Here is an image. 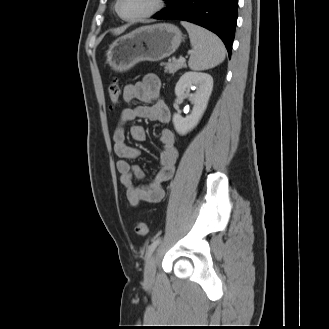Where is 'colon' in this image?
Returning a JSON list of instances; mask_svg holds the SVG:
<instances>
[{
    "label": "colon",
    "mask_w": 329,
    "mask_h": 329,
    "mask_svg": "<svg viewBox=\"0 0 329 329\" xmlns=\"http://www.w3.org/2000/svg\"><path fill=\"white\" fill-rule=\"evenodd\" d=\"M108 95L112 103V106L115 107L119 104L120 99V87L118 81L113 79L108 85ZM148 226L145 222L139 221L135 225V233L139 236H145L148 234Z\"/></svg>",
    "instance_id": "5ec220e1"
}]
</instances>
